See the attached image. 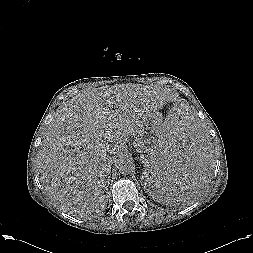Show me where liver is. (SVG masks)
I'll return each instance as SVG.
<instances>
[{"label": "liver", "instance_id": "6515ba94", "mask_svg": "<svg viewBox=\"0 0 253 253\" xmlns=\"http://www.w3.org/2000/svg\"><path fill=\"white\" fill-rule=\"evenodd\" d=\"M170 99L164 88L119 84L86 89L63 102L37 156L49 199L83 219L104 211L112 164L128 137L138 135Z\"/></svg>", "mask_w": 253, "mask_h": 253}]
</instances>
